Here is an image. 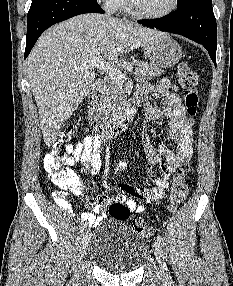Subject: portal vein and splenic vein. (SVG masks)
<instances>
[{"label":"portal vein and splenic vein","instance_id":"obj_1","mask_svg":"<svg viewBox=\"0 0 233 286\" xmlns=\"http://www.w3.org/2000/svg\"><path fill=\"white\" fill-rule=\"evenodd\" d=\"M95 67L101 69L111 78H114L116 81L123 82L125 79V76L119 69H117L110 63L105 62L102 58L93 59L87 63H84L83 65H81L80 69H87V68L93 69ZM135 71L136 74H139L141 72L140 70H135Z\"/></svg>","mask_w":233,"mask_h":286}]
</instances>
